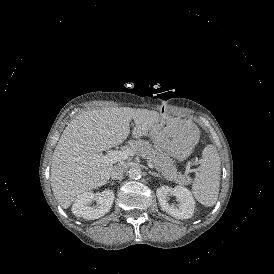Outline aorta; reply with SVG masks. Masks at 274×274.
Wrapping results in <instances>:
<instances>
[{
	"instance_id": "762f6f07",
	"label": "aorta",
	"mask_w": 274,
	"mask_h": 274,
	"mask_svg": "<svg viewBox=\"0 0 274 274\" xmlns=\"http://www.w3.org/2000/svg\"><path fill=\"white\" fill-rule=\"evenodd\" d=\"M129 176L132 178V179H140L141 176H142V171L139 167L137 166H134L132 168H130L129 170Z\"/></svg>"
}]
</instances>
